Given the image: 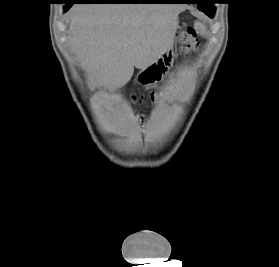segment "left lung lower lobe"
Returning <instances> with one entry per match:
<instances>
[{
  "label": "left lung lower lobe",
  "mask_w": 279,
  "mask_h": 267,
  "mask_svg": "<svg viewBox=\"0 0 279 267\" xmlns=\"http://www.w3.org/2000/svg\"><path fill=\"white\" fill-rule=\"evenodd\" d=\"M177 3H197L198 9L208 15L210 18H213L215 8L212 5L213 0H182Z\"/></svg>",
  "instance_id": "0a47b994"
}]
</instances>
